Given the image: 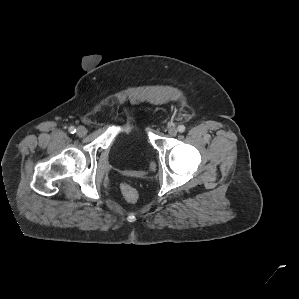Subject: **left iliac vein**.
I'll list each match as a JSON object with an SVG mask.
<instances>
[{
	"mask_svg": "<svg viewBox=\"0 0 299 299\" xmlns=\"http://www.w3.org/2000/svg\"><path fill=\"white\" fill-rule=\"evenodd\" d=\"M168 133H169L170 136L174 137L177 134V129L175 127H170L168 129Z\"/></svg>",
	"mask_w": 299,
	"mask_h": 299,
	"instance_id": "4c4485c4",
	"label": "left iliac vein"
}]
</instances>
